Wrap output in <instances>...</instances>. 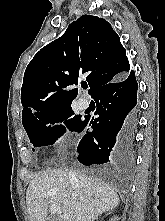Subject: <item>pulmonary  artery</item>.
Listing matches in <instances>:
<instances>
[{
  "mask_svg": "<svg viewBox=\"0 0 165 221\" xmlns=\"http://www.w3.org/2000/svg\"><path fill=\"white\" fill-rule=\"evenodd\" d=\"M90 105V102L88 99L86 98H80L78 100V106L81 110H86Z\"/></svg>",
  "mask_w": 165,
  "mask_h": 221,
  "instance_id": "e3ab8cb5",
  "label": "pulmonary artery"
}]
</instances>
